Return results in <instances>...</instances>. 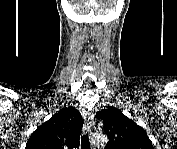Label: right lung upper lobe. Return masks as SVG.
<instances>
[{
    "label": "right lung upper lobe",
    "mask_w": 177,
    "mask_h": 149,
    "mask_svg": "<svg viewBox=\"0 0 177 149\" xmlns=\"http://www.w3.org/2000/svg\"><path fill=\"white\" fill-rule=\"evenodd\" d=\"M81 128L80 112L72 107L62 108L32 133L26 149L78 148Z\"/></svg>",
    "instance_id": "1"
}]
</instances>
